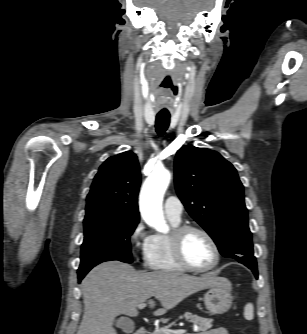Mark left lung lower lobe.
<instances>
[{
    "label": "left lung lower lobe",
    "mask_w": 307,
    "mask_h": 334,
    "mask_svg": "<svg viewBox=\"0 0 307 334\" xmlns=\"http://www.w3.org/2000/svg\"><path fill=\"white\" fill-rule=\"evenodd\" d=\"M248 268H250L253 271L255 277L257 278L258 277L257 266L256 267H248Z\"/></svg>",
    "instance_id": "obj_1"
}]
</instances>
